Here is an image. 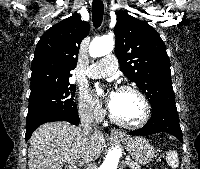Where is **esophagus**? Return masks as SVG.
Here are the masks:
<instances>
[{
  "instance_id": "esophagus-1",
  "label": "esophagus",
  "mask_w": 200,
  "mask_h": 169,
  "mask_svg": "<svg viewBox=\"0 0 200 169\" xmlns=\"http://www.w3.org/2000/svg\"><path fill=\"white\" fill-rule=\"evenodd\" d=\"M110 135H111L112 137H124L123 132H121L120 130L115 129V128H114V129H111Z\"/></svg>"
}]
</instances>
